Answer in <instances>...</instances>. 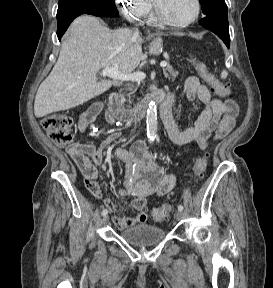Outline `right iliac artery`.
Returning <instances> with one entry per match:
<instances>
[{
  "instance_id": "obj_1",
  "label": "right iliac artery",
  "mask_w": 273,
  "mask_h": 288,
  "mask_svg": "<svg viewBox=\"0 0 273 288\" xmlns=\"http://www.w3.org/2000/svg\"><path fill=\"white\" fill-rule=\"evenodd\" d=\"M107 213H108L107 209H103L101 214H102V216H105V215H107Z\"/></svg>"
}]
</instances>
